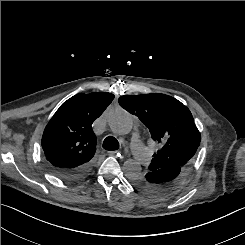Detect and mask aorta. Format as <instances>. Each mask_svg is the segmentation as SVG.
I'll return each instance as SVG.
<instances>
[{"label":"aorta","mask_w":245,"mask_h":245,"mask_svg":"<svg viewBox=\"0 0 245 245\" xmlns=\"http://www.w3.org/2000/svg\"><path fill=\"white\" fill-rule=\"evenodd\" d=\"M108 126L112 133L117 136H124L131 132L133 128V120L131 115L123 109H116L108 118ZM141 164L134 159H127L123 164V172L125 176L134 180L141 175Z\"/></svg>","instance_id":"762f6f07"}]
</instances>
